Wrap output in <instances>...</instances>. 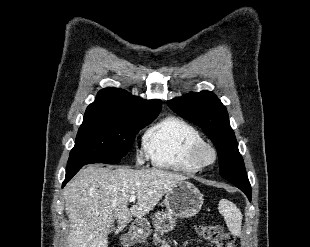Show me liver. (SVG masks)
I'll return each mask as SVG.
<instances>
[{
    "label": "liver",
    "mask_w": 310,
    "mask_h": 247,
    "mask_svg": "<svg viewBox=\"0 0 310 247\" xmlns=\"http://www.w3.org/2000/svg\"><path fill=\"white\" fill-rule=\"evenodd\" d=\"M186 176L160 169H116L89 165L65 187V210L70 221L68 247H108L114 221L120 232L133 217L148 214ZM130 196L137 202L128 209Z\"/></svg>",
    "instance_id": "6515ba94"
}]
</instances>
